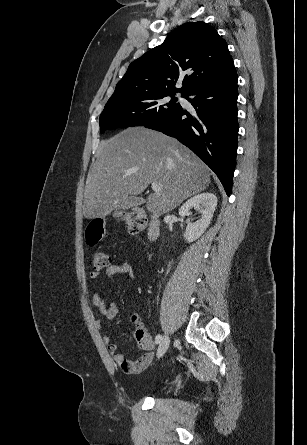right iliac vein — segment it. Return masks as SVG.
<instances>
[{
	"mask_svg": "<svg viewBox=\"0 0 307 445\" xmlns=\"http://www.w3.org/2000/svg\"><path fill=\"white\" fill-rule=\"evenodd\" d=\"M170 344V338L168 335H165L161 341L160 344L158 346V350H157V358H161L167 351L168 347Z\"/></svg>",
	"mask_w": 307,
	"mask_h": 445,
	"instance_id": "obj_1",
	"label": "right iliac vein"
}]
</instances>
